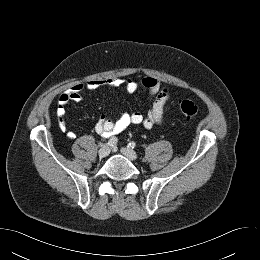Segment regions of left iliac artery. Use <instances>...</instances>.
<instances>
[{
	"label": "left iliac artery",
	"mask_w": 260,
	"mask_h": 260,
	"mask_svg": "<svg viewBox=\"0 0 260 260\" xmlns=\"http://www.w3.org/2000/svg\"><path fill=\"white\" fill-rule=\"evenodd\" d=\"M129 147H131L132 149H133V148H135V147H136V144H135V142H133V141H132V142H130V143H129Z\"/></svg>",
	"instance_id": "left-iliac-artery-1"
}]
</instances>
